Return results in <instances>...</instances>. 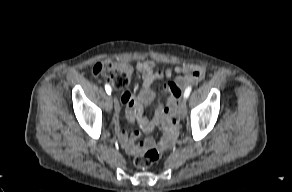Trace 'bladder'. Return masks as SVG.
<instances>
[{
  "label": "bladder",
  "mask_w": 292,
  "mask_h": 192,
  "mask_svg": "<svg viewBox=\"0 0 292 192\" xmlns=\"http://www.w3.org/2000/svg\"><path fill=\"white\" fill-rule=\"evenodd\" d=\"M155 96H156L155 91L151 88H148L141 93L140 101L144 105H149L154 101Z\"/></svg>",
  "instance_id": "1"
}]
</instances>
